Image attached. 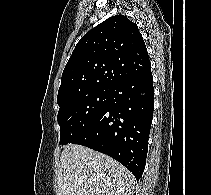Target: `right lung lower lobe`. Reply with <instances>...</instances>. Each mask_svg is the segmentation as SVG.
Returning a JSON list of instances; mask_svg holds the SVG:
<instances>
[{
  "label": "right lung lower lobe",
  "instance_id": "obj_1",
  "mask_svg": "<svg viewBox=\"0 0 211 195\" xmlns=\"http://www.w3.org/2000/svg\"><path fill=\"white\" fill-rule=\"evenodd\" d=\"M153 106L150 68L114 84L104 111L73 144L111 156L138 181L145 169Z\"/></svg>",
  "mask_w": 211,
  "mask_h": 195
}]
</instances>
